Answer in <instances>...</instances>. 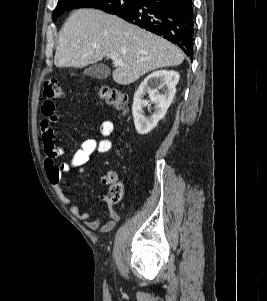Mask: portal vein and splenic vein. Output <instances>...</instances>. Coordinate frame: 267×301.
I'll use <instances>...</instances> for the list:
<instances>
[{"label":"portal vein and splenic vein","instance_id":"portal-vein-and-splenic-vein-1","mask_svg":"<svg viewBox=\"0 0 267 301\" xmlns=\"http://www.w3.org/2000/svg\"><path fill=\"white\" fill-rule=\"evenodd\" d=\"M110 58L113 60L114 64L119 66L124 65L123 62L120 59H118L115 54H110Z\"/></svg>","mask_w":267,"mask_h":301}]
</instances>
